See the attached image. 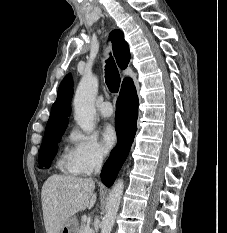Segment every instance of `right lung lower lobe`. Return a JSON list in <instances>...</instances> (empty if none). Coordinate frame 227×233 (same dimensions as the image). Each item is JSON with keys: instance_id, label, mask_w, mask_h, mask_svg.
<instances>
[{"instance_id": "right-lung-lower-lobe-1", "label": "right lung lower lobe", "mask_w": 227, "mask_h": 233, "mask_svg": "<svg viewBox=\"0 0 227 233\" xmlns=\"http://www.w3.org/2000/svg\"><path fill=\"white\" fill-rule=\"evenodd\" d=\"M138 97L132 80L128 87L120 92L116 103V132L118 142L101 171V180L110 187L126 160L137 130Z\"/></svg>"}]
</instances>
